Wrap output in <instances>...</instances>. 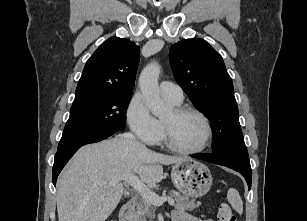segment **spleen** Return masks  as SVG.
<instances>
[{"label":"spleen","instance_id":"spleen-1","mask_svg":"<svg viewBox=\"0 0 307 221\" xmlns=\"http://www.w3.org/2000/svg\"><path fill=\"white\" fill-rule=\"evenodd\" d=\"M227 199L229 203L231 204L232 208L236 212H238V214L242 215L243 202H242L239 192L234 188L229 189L227 193Z\"/></svg>","mask_w":307,"mask_h":221}]
</instances>
